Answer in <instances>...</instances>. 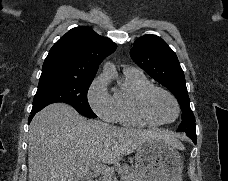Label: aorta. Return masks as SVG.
I'll return each mask as SVG.
<instances>
[{"instance_id":"762f6f07","label":"aorta","mask_w":228,"mask_h":181,"mask_svg":"<svg viewBox=\"0 0 228 181\" xmlns=\"http://www.w3.org/2000/svg\"><path fill=\"white\" fill-rule=\"evenodd\" d=\"M103 72L106 75L115 74L116 73L115 66L110 62H106L103 67Z\"/></svg>"}]
</instances>
